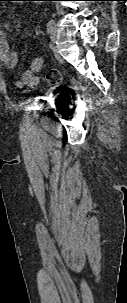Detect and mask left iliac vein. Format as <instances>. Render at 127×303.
Returning <instances> with one entry per match:
<instances>
[{
    "label": "left iliac vein",
    "instance_id": "4c4485c4",
    "mask_svg": "<svg viewBox=\"0 0 127 303\" xmlns=\"http://www.w3.org/2000/svg\"><path fill=\"white\" fill-rule=\"evenodd\" d=\"M57 39H58V30L57 28L55 27L51 32H50V45H51V48L54 52V54L57 56V57H60L59 56V53L55 47V44L57 42Z\"/></svg>",
    "mask_w": 127,
    "mask_h": 303
}]
</instances>
